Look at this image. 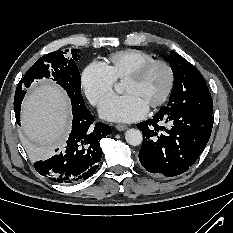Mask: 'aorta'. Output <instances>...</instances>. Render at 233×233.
I'll use <instances>...</instances> for the list:
<instances>
[{
	"label": "aorta",
	"mask_w": 233,
	"mask_h": 233,
	"mask_svg": "<svg viewBox=\"0 0 233 233\" xmlns=\"http://www.w3.org/2000/svg\"><path fill=\"white\" fill-rule=\"evenodd\" d=\"M119 89V86H117L116 90L119 91ZM125 140L128 144L137 146L142 143L143 136L140 130L131 128L125 132Z\"/></svg>",
	"instance_id": "762f6f07"
}]
</instances>
